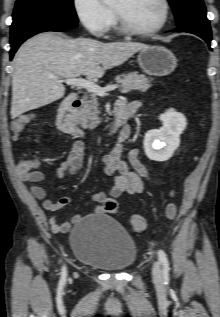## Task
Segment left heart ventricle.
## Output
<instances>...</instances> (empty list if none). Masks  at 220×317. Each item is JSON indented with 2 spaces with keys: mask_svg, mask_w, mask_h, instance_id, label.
Listing matches in <instances>:
<instances>
[{
  "mask_svg": "<svg viewBox=\"0 0 220 317\" xmlns=\"http://www.w3.org/2000/svg\"><path fill=\"white\" fill-rule=\"evenodd\" d=\"M112 8L117 10L131 27L138 30L155 27L163 17L160 0H115Z\"/></svg>",
  "mask_w": 220,
  "mask_h": 317,
  "instance_id": "b2bd125f",
  "label": "left heart ventricle"
}]
</instances>
